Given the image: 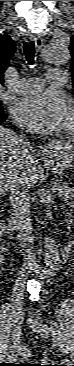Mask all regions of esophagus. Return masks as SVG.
Returning <instances> with one entry per match:
<instances>
[{
  "label": "esophagus",
  "instance_id": "esophagus-1",
  "mask_svg": "<svg viewBox=\"0 0 74 366\" xmlns=\"http://www.w3.org/2000/svg\"><path fill=\"white\" fill-rule=\"evenodd\" d=\"M30 39L35 42L36 47L41 50L43 47V40L39 35H31Z\"/></svg>",
  "mask_w": 74,
  "mask_h": 366
}]
</instances>
